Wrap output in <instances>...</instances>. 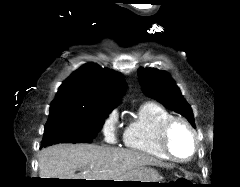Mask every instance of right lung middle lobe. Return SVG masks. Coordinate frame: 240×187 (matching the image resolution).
Returning <instances> with one entry per match:
<instances>
[{"instance_id":"1","label":"right lung middle lobe","mask_w":240,"mask_h":187,"mask_svg":"<svg viewBox=\"0 0 240 187\" xmlns=\"http://www.w3.org/2000/svg\"><path fill=\"white\" fill-rule=\"evenodd\" d=\"M110 112L69 106L50 108L41 144L46 147L61 142L91 143Z\"/></svg>"}]
</instances>
